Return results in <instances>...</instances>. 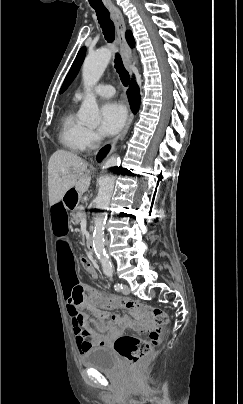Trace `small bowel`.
<instances>
[{"mask_svg":"<svg viewBox=\"0 0 243 404\" xmlns=\"http://www.w3.org/2000/svg\"><path fill=\"white\" fill-rule=\"evenodd\" d=\"M50 221L55 237L57 265L66 300L68 314L73 325L75 341L80 355L86 350L96 346H106L121 336L123 326L119 318L112 316V322L100 321L99 329L90 326L88 316L78 310L79 304H85L86 287L82 286L77 278L74 266V256L69 239L68 208L63 197L55 200L50 208ZM96 277L94 270L91 272Z\"/></svg>","mask_w":243,"mask_h":404,"instance_id":"small-bowel-1","label":"small bowel"}]
</instances>
